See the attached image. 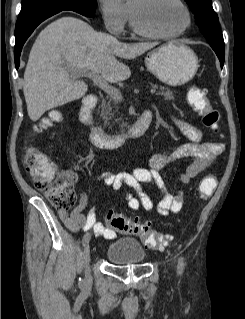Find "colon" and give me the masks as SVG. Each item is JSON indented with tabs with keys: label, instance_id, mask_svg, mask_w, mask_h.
I'll list each match as a JSON object with an SVG mask.
<instances>
[{
	"label": "colon",
	"instance_id": "colon-1",
	"mask_svg": "<svg viewBox=\"0 0 245 319\" xmlns=\"http://www.w3.org/2000/svg\"><path fill=\"white\" fill-rule=\"evenodd\" d=\"M188 101L192 109L201 117L202 123L214 134H220L219 113L212 107L205 91L193 88L188 92ZM60 119L58 113H51L35 128L42 132ZM24 163L35 187L44 192L49 202L59 210H69L76 204L77 197L72 187V173L59 171L53 161L43 153L29 148L25 152ZM217 181L214 175L208 174L200 183V194L209 197ZM108 224L120 232L138 235L146 247L157 249L167 246L169 240L152 230L147 221L134 219L116 212H109L106 218Z\"/></svg>",
	"mask_w": 245,
	"mask_h": 319
}]
</instances>
